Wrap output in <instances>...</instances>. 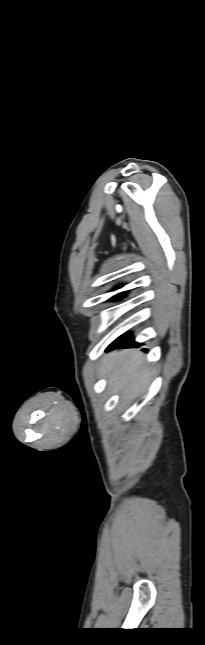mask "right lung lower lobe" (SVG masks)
<instances>
[{
    "mask_svg": "<svg viewBox=\"0 0 205 645\" xmlns=\"http://www.w3.org/2000/svg\"><path fill=\"white\" fill-rule=\"evenodd\" d=\"M142 344L136 343L130 334H124L118 337L108 349L138 347Z\"/></svg>",
    "mask_w": 205,
    "mask_h": 645,
    "instance_id": "right-lung-lower-lobe-1",
    "label": "right lung lower lobe"
}]
</instances>
